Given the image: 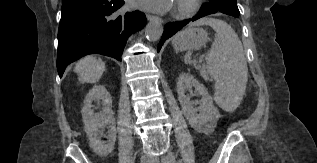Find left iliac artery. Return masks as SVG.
Returning <instances> with one entry per match:
<instances>
[{
    "instance_id": "obj_1",
    "label": "left iliac artery",
    "mask_w": 317,
    "mask_h": 163,
    "mask_svg": "<svg viewBox=\"0 0 317 163\" xmlns=\"http://www.w3.org/2000/svg\"><path fill=\"white\" fill-rule=\"evenodd\" d=\"M162 163H169L168 157L163 158V159H162Z\"/></svg>"
}]
</instances>
